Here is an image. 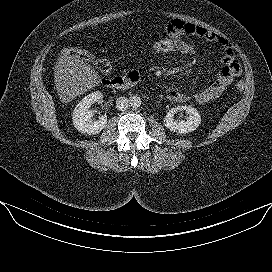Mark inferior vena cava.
I'll return each instance as SVG.
<instances>
[{"mask_svg": "<svg viewBox=\"0 0 272 272\" xmlns=\"http://www.w3.org/2000/svg\"><path fill=\"white\" fill-rule=\"evenodd\" d=\"M130 106L129 99L126 97H119L116 100V108L120 111H125Z\"/></svg>", "mask_w": 272, "mask_h": 272, "instance_id": "602c4592", "label": "inferior vena cava"}]
</instances>
